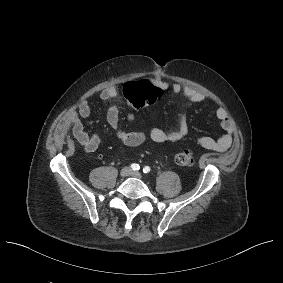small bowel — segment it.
I'll return each instance as SVG.
<instances>
[{
    "instance_id": "c3829d8e",
    "label": "small bowel",
    "mask_w": 283,
    "mask_h": 283,
    "mask_svg": "<svg viewBox=\"0 0 283 283\" xmlns=\"http://www.w3.org/2000/svg\"><path fill=\"white\" fill-rule=\"evenodd\" d=\"M150 81L162 90H167L171 87L174 94H183L191 104H196L203 101L204 96L190 87H183L180 83L175 82L172 85L168 80L160 75H154ZM117 97V89L115 86H110L102 90L100 98L104 103L113 101ZM217 119L220 122L224 134L217 139L211 137H200L197 143L210 150L226 151L232 144L234 124L226 109L220 107L215 112ZM91 109L87 99H82L77 107V110L69 115L67 124L72 127V132L77 141L84 147L87 153L95 152L100 145L98 134H88L84 130L82 119H89ZM106 119L109 125L114 130L116 137L126 146L136 147L150 139L155 143L177 142L182 140L188 133V125L185 120H182L179 128L172 132H166L160 128H153L149 133L143 131L129 132L120 126V114L118 105L112 104L109 106Z\"/></svg>"
}]
</instances>
